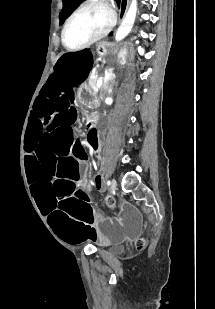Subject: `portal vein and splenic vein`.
Listing matches in <instances>:
<instances>
[{"instance_id": "18ae733b", "label": "portal vein and splenic vein", "mask_w": 215, "mask_h": 309, "mask_svg": "<svg viewBox=\"0 0 215 309\" xmlns=\"http://www.w3.org/2000/svg\"><path fill=\"white\" fill-rule=\"evenodd\" d=\"M102 82H103V80H102V76H101V78H99V80L97 82V86H101Z\"/></svg>"}]
</instances>
